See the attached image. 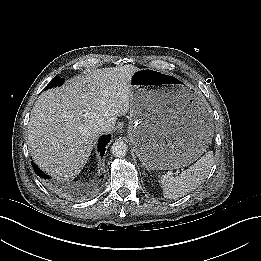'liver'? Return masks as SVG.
I'll return each mask as SVG.
<instances>
[{
	"label": "liver",
	"mask_w": 261,
	"mask_h": 261,
	"mask_svg": "<svg viewBox=\"0 0 261 261\" xmlns=\"http://www.w3.org/2000/svg\"><path fill=\"white\" fill-rule=\"evenodd\" d=\"M131 64L92 70L70 79L63 88L44 91L28 124V145L35 162L57 179L75 178L86 164L98 137L91 128L97 117L108 130L130 108Z\"/></svg>",
	"instance_id": "6515ba94"
}]
</instances>
